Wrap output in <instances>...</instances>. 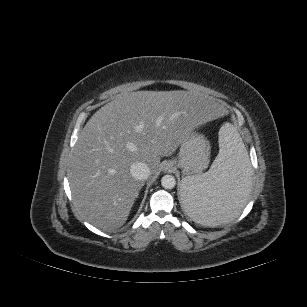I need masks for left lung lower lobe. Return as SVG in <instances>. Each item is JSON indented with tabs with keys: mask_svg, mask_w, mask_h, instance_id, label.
Wrapping results in <instances>:
<instances>
[{
	"mask_svg": "<svg viewBox=\"0 0 307 307\" xmlns=\"http://www.w3.org/2000/svg\"><path fill=\"white\" fill-rule=\"evenodd\" d=\"M237 176H240V175H237ZM240 204L241 203L236 193L230 192L225 196L224 199H222V203H221L219 211L221 214L228 216V215L235 213L239 209Z\"/></svg>",
	"mask_w": 307,
	"mask_h": 307,
	"instance_id": "left-lung-lower-lobe-1",
	"label": "left lung lower lobe"
}]
</instances>
